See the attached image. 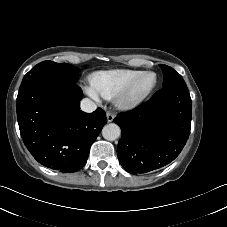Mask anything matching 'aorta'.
<instances>
[{"instance_id": "obj_1", "label": "aorta", "mask_w": 227, "mask_h": 227, "mask_svg": "<svg viewBox=\"0 0 227 227\" xmlns=\"http://www.w3.org/2000/svg\"><path fill=\"white\" fill-rule=\"evenodd\" d=\"M120 127L115 123L107 124L102 129V136L108 141H114L120 136Z\"/></svg>"}]
</instances>
